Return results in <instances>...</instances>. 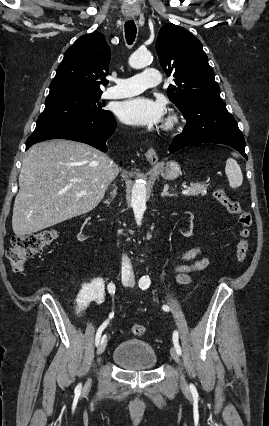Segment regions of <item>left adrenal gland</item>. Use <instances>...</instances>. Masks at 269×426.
Segmentation results:
<instances>
[{
  "label": "left adrenal gland",
  "instance_id": "left-adrenal-gland-1",
  "mask_svg": "<svg viewBox=\"0 0 269 426\" xmlns=\"http://www.w3.org/2000/svg\"><path fill=\"white\" fill-rule=\"evenodd\" d=\"M168 189H169L168 184H165V185H164V188H163V192H162V194H161V196H162V197H172V196H175L174 194L169 193V192H168Z\"/></svg>",
  "mask_w": 269,
  "mask_h": 426
}]
</instances>
